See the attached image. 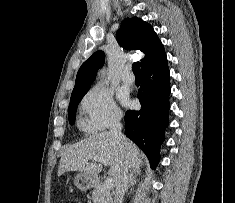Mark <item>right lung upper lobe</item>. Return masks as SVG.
Returning a JSON list of instances; mask_svg holds the SVG:
<instances>
[{"label": "right lung upper lobe", "instance_id": "1", "mask_svg": "<svg viewBox=\"0 0 235 203\" xmlns=\"http://www.w3.org/2000/svg\"><path fill=\"white\" fill-rule=\"evenodd\" d=\"M120 46L127 50H140L145 54L140 65L143 70L148 65L165 56L164 46L156 35L153 27L140 18H126L116 33ZM105 54L99 50L92 54L78 70L72 94L90 88L97 70L104 62Z\"/></svg>", "mask_w": 235, "mask_h": 203}]
</instances>
